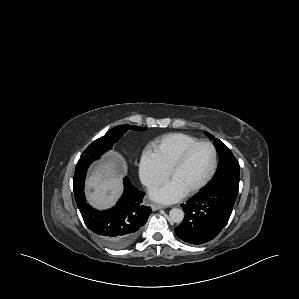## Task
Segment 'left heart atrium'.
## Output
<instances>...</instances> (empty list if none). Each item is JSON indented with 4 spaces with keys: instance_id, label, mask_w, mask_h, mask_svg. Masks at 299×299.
Returning a JSON list of instances; mask_svg holds the SVG:
<instances>
[{
    "instance_id": "1",
    "label": "left heart atrium",
    "mask_w": 299,
    "mask_h": 299,
    "mask_svg": "<svg viewBox=\"0 0 299 299\" xmlns=\"http://www.w3.org/2000/svg\"><path fill=\"white\" fill-rule=\"evenodd\" d=\"M185 194L186 191L174 181H170L160 187H157L150 193L154 200L167 204L178 201Z\"/></svg>"
}]
</instances>
